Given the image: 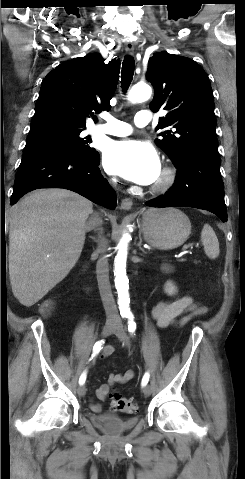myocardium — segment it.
I'll list each match as a JSON object with an SVG mask.
<instances>
[{"label":"myocardium","instance_id":"obj_1","mask_svg":"<svg viewBox=\"0 0 245 479\" xmlns=\"http://www.w3.org/2000/svg\"><path fill=\"white\" fill-rule=\"evenodd\" d=\"M175 181V172L172 168L166 166L162 169L159 178L152 186V191L162 193L167 191Z\"/></svg>","mask_w":245,"mask_h":479}]
</instances>
